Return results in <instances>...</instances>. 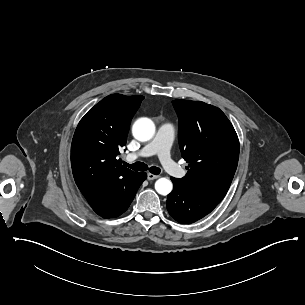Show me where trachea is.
Here are the masks:
<instances>
[{
	"instance_id": "trachea-1",
	"label": "trachea",
	"mask_w": 305,
	"mask_h": 305,
	"mask_svg": "<svg viewBox=\"0 0 305 305\" xmlns=\"http://www.w3.org/2000/svg\"><path fill=\"white\" fill-rule=\"evenodd\" d=\"M125 166L133 169V170H136V171H145V170H148V166L143 163V162H135L133 164H128V163H125ZM149 171L150 173L154 174V175H158L161 173V168H158L156 166H152L149 168Z\"/></svg>"
}]
</instances>
